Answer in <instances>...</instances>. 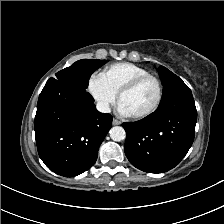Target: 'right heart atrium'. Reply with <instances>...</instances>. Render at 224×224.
<instances>
[{
  "label": "right heart atrium",
  "instance_id": "d8ad5b80",
  "mask_svg": "<svg viewBox=\"0 0 224 224\" xmlns=\"http://www.w3.org/2000/svg\"><path fill=\"white\" fill-rule=\"evenodd\" d=\"M88 91L102 111H108L116 100L114 93L101 75H92L88 80Z\"/></svg>",
  "mask_w": 224,
  "mask_h": 224
}]
</instances>
